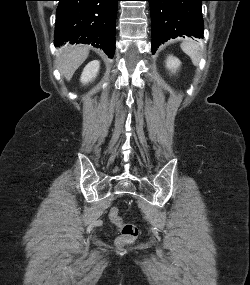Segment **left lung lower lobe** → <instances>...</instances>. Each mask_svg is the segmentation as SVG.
<instances>
[{
    "label": "left lung lower lobe",
    "instance_id": "obj_1",
    "mask_svg": "<svg viewBox=\"0 0 250 285\" xmlns=\"http://www.w3.org/2000/svg\"><path fill=\"white\" fill-rule=\"evenodd\" d=\"M152 23V53L178 36L203 38L201 2L205 0H147Z\"/></svg>",
    "mask_w": 250,
    "mask_h": 285
}]
</instances>
